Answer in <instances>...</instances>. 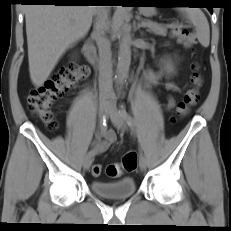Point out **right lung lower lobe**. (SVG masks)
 <instances>
[{"mask_svg": "<svg viewBox=\"0 0 231 231\" xmlns=\"http://www.w3.org/2000/svg\"><path fill=\"white\" fill-rule=\"evenodd\" d=\"M79 0H22L26 3H50L54 5H81Z\"/></svg>", "mask_w": 231, "mask_h": 231, "instance_id": "obj_1", "label": "right lung lower lobe"}]
</instances>
